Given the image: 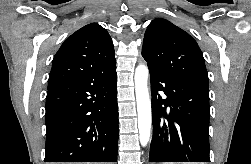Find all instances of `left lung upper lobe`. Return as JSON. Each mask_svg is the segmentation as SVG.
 Masks as SVG:
<instances>
[{
  "mask_svg": "<svg viewBox=\"0 0 251 164\" xmlns=\"http://www.w3.org/2000/svg\"><path fill=\"white\" fill-rule=\"evenodd\" d=\"M148 67L208 87V74L196 41L171 22L157 18L148 26L142 47Z\"/></svg>",
  "mask_w": 251,
  "mask_h": 164,
  "instance_id": "5c2ea615",
  "label": "left lung upper lobe"
}]
</instances>
